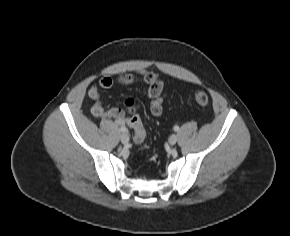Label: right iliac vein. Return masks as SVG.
<instances>
[{"mask_svg":"<svg viewBox=\"0 0 290 236\" xmlns=\"http://www.w3.org/2000/svg\"><path fill=\"white\" fill-rule=\"evenodd\" d=\"M120 140L123 144H127L129 142V135L128 132L125 131L120 135Z\"/></svg>","mask_w":290,"mask_h":236,"instance_id":"right-iliac-vein-1","label":"right iliac vein"}]
</instances>
